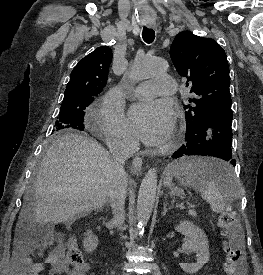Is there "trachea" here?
<instances>
[{
    "label": "trachea",
    "instance_id": "obj_1",
    "mask_svg": "<svg viewBox=\"0 0 263 275\" xmlns=\"http://www.w3.org/2000/svg\"><path fill=\"white\" fill-rule=\"evenodd\" d=\"M142 38L146 43H152L155 39V32L151 28L144 27L142 32Z\"/></svg>",
    "mask_w": 263,
    "mask_h": 275
}]
</instances>
